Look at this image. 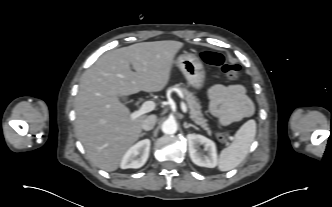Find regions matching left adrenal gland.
Here are the masks:
<instances>
[{"instance_id": "obj_1", "label": "left adrenal gland", "mask_w": 332, "mask_h": 207, "mask_svg": "<svg viewBox=\"0 0 332 207\" xmlns=\"http://www.w3.org/2000/svg\"><path fill=\"white\" fill-rule=\"evenodd\" d=\"M183 126L185 129H188L189 127H193L194 129L198 130V128L195 125L190 124V123L184 122Z\"/></svg>"}]
</instances>
